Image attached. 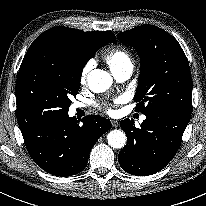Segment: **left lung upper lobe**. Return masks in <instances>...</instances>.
Here are the masks:
<instances>
[{
  "instance_id": "obj_1",
  "label": "left lung upper lobe",
  "mask_w": 206,
  "mask_h": 206,
  "mask_svg": "<svg viewBox=\"0 0 206 206\" xmlns=\"http://www.w3.org/2000/svg\"><path fill=\"white\" fill-rule=\"evenodd\" d=\"M118 40L135 48L141 60L135 110H164L191 115L192 78L177 40L153 25L119 33Z\"/></svg>"
}]
</instances>
